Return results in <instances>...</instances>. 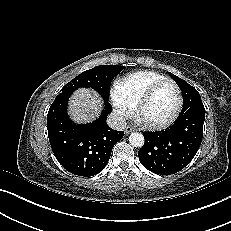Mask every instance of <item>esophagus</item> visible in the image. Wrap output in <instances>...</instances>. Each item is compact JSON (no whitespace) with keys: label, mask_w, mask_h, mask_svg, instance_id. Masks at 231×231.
<instances>
[{"label":"esophagus","mask_w":231,"mask_h":231,"mask_svg":"<svg viewBox=\"0 0 231 231\" xmlns=\"http://www.w3.org/2000/svg\"><path fill=\"white\" fill-rule=\"evenodd\" d=\"M134 130H135L134 127H132V126H127L126 129H125V133H126V134H129L130 132H132V131H134Z\"/></svg>","instance_id":"1"}]
</instances>
